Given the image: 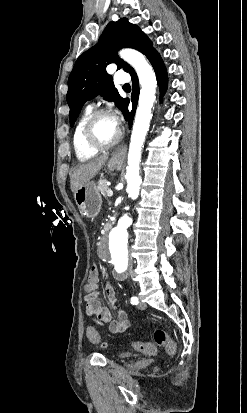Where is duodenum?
I'll return each mask as SVG.
<instances>
[{
    "mask_svg": "<svg viewBox=\"0 0 247 413\" xmlns=\"http://www.w3.org/2000/svg\"><path fill=\"white\" fill-rule=\"evenodd\" d=\"M112 223L111 222H107L104 226V231L108 232L111 229Z\"/></svg>",
    "mask_w": 247,
    "mask_h": 413,
    "instance_id": "1",
    "label": "duodenum"
}]
</instances>
